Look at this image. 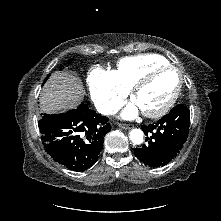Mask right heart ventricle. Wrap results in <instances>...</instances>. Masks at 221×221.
Returning <instances> with one entry per match:
<instances>
[{
	"label": "right heart ventricle",
	"mask_w": 221,
	"mask_h": 221,
	"mask_svg": "<svg viewBox=\"0 0 221 221\" xmlns=\"http://www.w3.org/2000/svg\"><path fill=\"white\" fill-rule=\"evenodd\" d=\"M162 65H169L163 56L144 54L120 59L113 72L120 84L129 91L148 70Z\"/></svg>",
	"instance_id": "1"
}]
</instances>
